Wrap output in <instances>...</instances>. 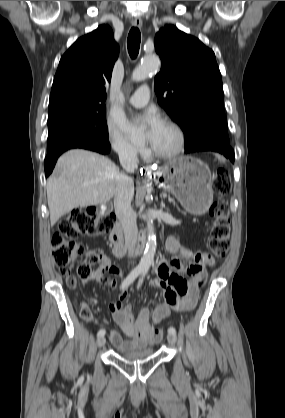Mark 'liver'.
I'll use <instances>...</instances> for the list:
<instances>
[{
	"label": "liver",
	"instance_id": "6515ba94",
	"mask_svg": "<svg viewBox=\"0 0 285 418\" xmlns=\"http://www.w3.org/2000/svg\"><path fill=\"white\" fill-rule=\"evenodd\" d=\"M58 175L47 180L50 223H55L77 207L109 202L116 192L119 168L109 158L95 152L73 149L61 155Z\"/></svg>",
	"mask_w": 285,
	"mask_h": 418
}]
</instances>
